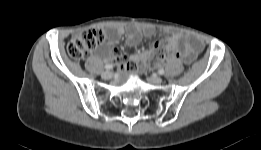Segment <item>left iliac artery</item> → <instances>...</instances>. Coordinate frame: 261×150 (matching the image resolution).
Returning a JSON list of instances; mask_svg holds the SVG:
<instances>
[{
    "instance_id": "left-iliac-artery-1",
    "label": "left iliac artery",
    "mask_w": 261,
    "mask_h": 150,
    "mask_svg": "<svg viewBox=\"0 0 261 150\" xmlns=\"http://www.w3.org/2000/svg\"><path fill=\"white\" fill-rule=\"evenodd\" d=\"M158 73H159L160 75H163V74H164V69H159Z\"/></svg>"
}]
</instances>
